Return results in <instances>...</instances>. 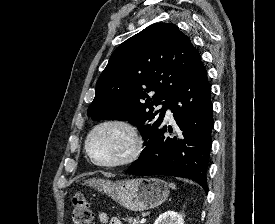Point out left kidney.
<instances>
[{
  "label": "left kidney",
  "mask_w": 275,
  "mask_h": 224,
  "mask_svg": "<svg viewBox=\"0 0 275 224\" xmlns=\"http://www.w3.org/2000/svg\"><path fill=\"white\" fill-rule=\"evenodd\" d=\"M154 224H184L183 217L175 211H166L161 214Z\"/></svg>",
  "instance_id": "1"
}]
</instances>
